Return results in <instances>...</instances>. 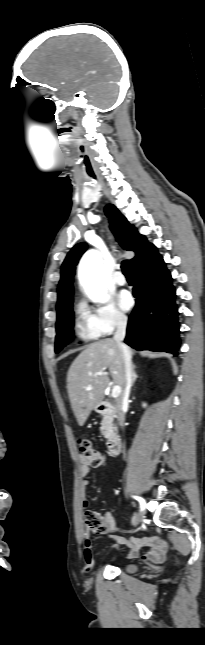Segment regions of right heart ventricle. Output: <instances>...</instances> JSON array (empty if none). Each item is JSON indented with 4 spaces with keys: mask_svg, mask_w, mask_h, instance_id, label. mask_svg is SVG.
Masks as SVG:
<instances>
[{
    "mask_svg": "<svg viewBox=\"0 0 205 645\" xmlns=\"http://www.w3.org/2000/svg\"><path fill=\"white\" fill-rule=\"evenodd\" d=\"M77 332L81 338L86 340H93L98 337V335L90 329L87 313L82 307H79L78 309Z\"/></svg>",
    "mask_w": 205,
    "mask_h": 645,
    "instance_id": "right-heart-ventricle-1",
    "label": "right heart ventricle"
}]
</instances>
